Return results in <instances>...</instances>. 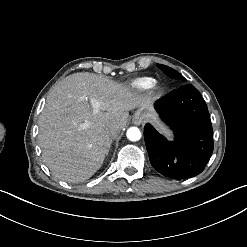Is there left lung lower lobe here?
<instances>
[{
	"mask_svg": "<svg viewBox=\"0 0 247 247\" xmlns=\"http://www.w3.org/2000/svg\"><path fill=\"white\" fill-rule=\"evenodd\" d=\"M160 118L174 131L168 141L147 123L144 139L152 166L162 175L187 179L200 174L213 152L207 105L193 85H183L155 102Z\"/></svg>",
	"mask_w": 247,
	"mask_h": 247,
	"instance_id": "left-lung-lower-lobe-1",
	"label": "left lung lower lobe"
}]
</instances>
